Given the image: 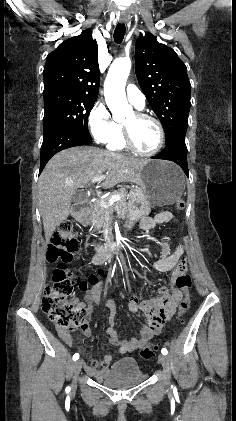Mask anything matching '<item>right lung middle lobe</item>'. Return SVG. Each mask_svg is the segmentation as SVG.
Segmentation results:
<instances>
[{"label":"right lung middle lobe","instance_id":"1","mask_svg":"<svg viewBox=\"0 0 236 421\" xmlns=\"http://www.w3.org/2000/svg\"><path fill=\"white\" fill-rule=\"evenodd\" d=\"M44 97V137L57 130L75 132L91 138L88 116L96 97L64 90H47Z\"/></svg>","mask_w":236,"mask_h":421}]
</instances>
